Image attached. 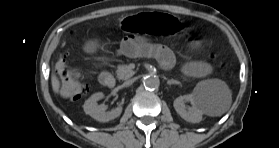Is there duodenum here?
Listing matches in <instances>:
<instances>
[{"label":"duodenum","instance_id":"duodenum-1","mask_svg":"<svg viewBox=\"0 0 279 148\" xmlns=\"http://www.w3.org/2000/svg\"><path fill=\"white\" fill-rule=\"evenodd\" d=\"M101 78L109 88H113L115 86V79L107 74V72H105L104 70L101 71Z\"/></svg>","mask_w":279,"mask_h":148}]
</instances>
